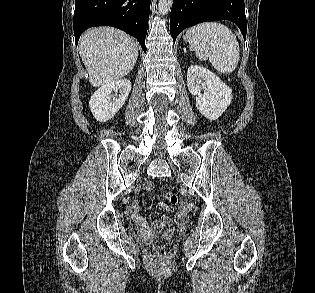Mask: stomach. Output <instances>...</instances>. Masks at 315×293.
Returning <instances> with one entry per match:
<instances>
[{"mask_svg":"<svg viewBox=\"0 0 315 293\" xmlns=\"http://www.w3.org/2000/svg\"><path fill=\"white\" fill-rule=\"evenodd\" d=\"M185 40L188 42L187 38L185 37ZM189 43V42H188Z\"/></svg>","mask_w":315,"mask_h":293,"instance_id":"1","label":"stomach"}]
</instances>
